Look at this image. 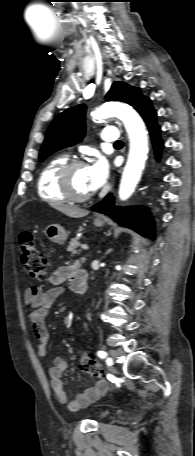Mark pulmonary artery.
I'll return each instance as SVG.
<instances>
[{"instance_id":"e3ab8cb5","label":"pulmonary artery","mask_w":195,"mask_h":456,"mask_svg":"<svg viewBox=\"0 0 195 456\" xmlns=\"http://www.w3.org/2000/svg\"><path fill=\"white\" fill-rule=\"evenodd\" d=\"M101 139L105 142H116L119 140V132L115 127H107L102 131Z\"/></svg>"}]
</instances>
